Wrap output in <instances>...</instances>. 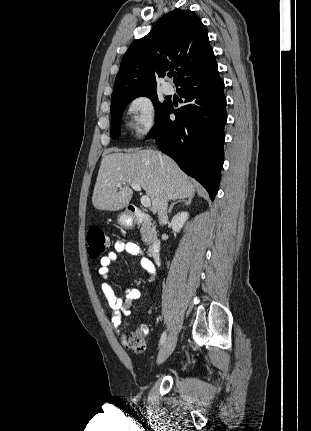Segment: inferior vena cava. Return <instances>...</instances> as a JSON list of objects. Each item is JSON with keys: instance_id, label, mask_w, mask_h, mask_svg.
<instances>
[{"instance_id": "inferior-vena-cava-1", "label": "inferior vena cava", "mask_w": 311, "mask_h": 431, "mask_svg": "<svg viewBox=\"0 0 311 431\" xmlns=\"http://www.w3.org/2000/svg\"><path fill=\"white\" fill-rule=\"evenodd\" d=\"M167 208H168V202H167V196H165V194H162L161 196V202L159 204V208H158V219L161 223V225H163L165 219H167Z\"/></svg>"}]
</instances>
